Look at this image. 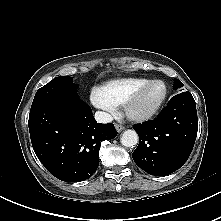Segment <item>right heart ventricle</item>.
<instances>
[{
  "mask_svg": "<svg viewBox=\"0 0 221 221\" xmlns=\"http://www.w3.org/2000/svg\"><path fill=\"white\" fill-rule=\"evenodd\" d=\"M148 81L146 78L114 79L103 84L100 89L115 106H123L134 92Z\"/></svg>",
  "mask_w": 221,
  "mask_h": 221,
  "instance_id": "right-heart-ventricle-1",
  "label": "right heart ventricle"
}]
</instances>
